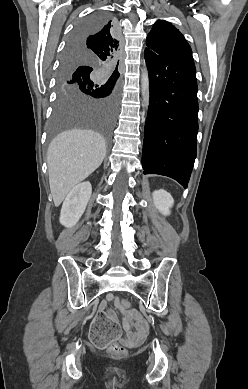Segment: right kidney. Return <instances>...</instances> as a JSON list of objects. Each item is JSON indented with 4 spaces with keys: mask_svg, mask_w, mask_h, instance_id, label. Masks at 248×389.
<instances>
[{
    "mask_svg": "<svg viewBox=\"0 0 248 389\" xmlns=\"http://www.w3.org/2000/svg\"><path fill=\"white\" fill-rule=\"evenodd\" d=\"M91 193L92 186L88 181L73 187L61 208L59 221L63 226L70 228L79 221L86 209Z\"/></svg>",
    "mask_w": 248,
    "mask_h": 389,
    "instance_id": "right-kidney-1",
    "label": "right kidney"
}]
</instances>
